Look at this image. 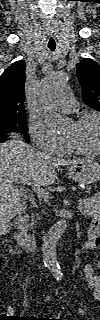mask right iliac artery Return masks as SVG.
Wrapping results in <instances>:
<instances>
[{"label": "right iliac artery", "instance_id": "82829eb1", "mask_svg": "<svg viewBox=\"0 0 100 320\" xmlns=\"http://www.w3.org/2000/svg\"><path fill=\"white\" fill-rule=\"evenodd\" d=\"M49 298H50L49 296L46 297L47 300H48Z\"/></svg>", "mask_w": 100, "mask_h": 320}]
</instances>
